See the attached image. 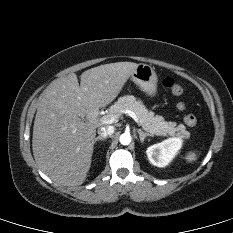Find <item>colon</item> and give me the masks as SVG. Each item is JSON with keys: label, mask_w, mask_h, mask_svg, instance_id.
Instances as JSON below:
<instances>
[{"label": "colon", "mask_w": 233, "mask_h": 233, "mask_svg": "<svg viewBox=\"0 0 233 233\" xmlns=\"http://www.w3.org/2000/svg\"><path fill=\"white\" fill-rule=\"evenodd\" d=\"M163 85L164 87L173 95H180L183 91L182 86L180 85V83L178 81H176L174 78L172 77H166L163 80ZM177 108L181 111V112H185V104L183 102H179L177 104ZM184 122L188 127L194 128L197 126V118L195 115L190 114V113H185L184 114Z\"/></svg>", "instance_id": "1"}]
</instances>
